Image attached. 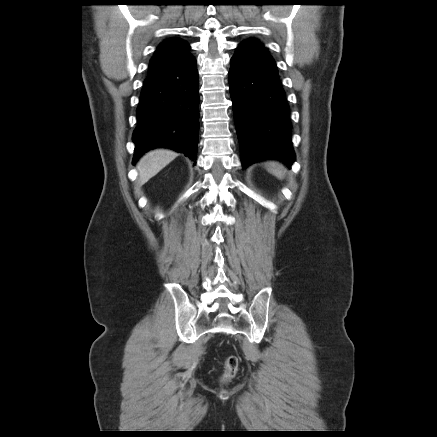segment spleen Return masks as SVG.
<instances>
[{
    "label": "spleen",
    "instance_id": "3e777b00",
    "mask_svg": "<svg viewBox=\"0 0 437 437\" xmlns=\"http://www.w3.org/2000/svg\"><path fill=\"white\" fill-rule=\"evenodd\" d=\"M267 170L279 179H283L285 176V170L283 169L282 165L276 162L269 163L267 165Z\"/></svg>",
    "mask_w": 437,
    "mask_h": 437
}]
</instances>
